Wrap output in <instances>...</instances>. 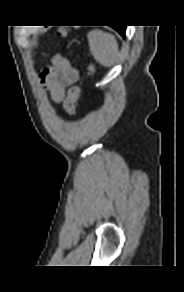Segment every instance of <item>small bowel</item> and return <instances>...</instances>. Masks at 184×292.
<instances>
[{"label":"small bowel","instance_id":"1","mask_svg":"<svg viewBox=\"0 0 184 292\" xmlns=\"http://www.w3.org/2000/svg\"><path fill=\"white\" fill-rule=\"evenodd\" d=\"M78 78L79 70L61 54H55L52 65L41 73V80L56 103L63 100L65 88L74 84Z\"/></svg>","mask_w":184,"mask_h":292}]
</instances>
